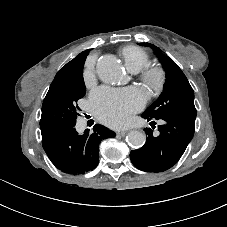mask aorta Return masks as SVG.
<instances>
[{
    "label": "aorta",
    "mask_w": 227,
    "mask_h": 227,
    "mask_svg": "<svg viewBox=\"0 0 227 227\" xmlns=\"http://www.w3.org/2000/svg\"><path fill=\"white\" fill-rule=\"evenodd\" d=\"M96 73L104 83L115 84L122 76V66L116 56L106 54L98 59ZM126 141L131 147L140 148L146 142V135L143 132L132 130L126 136Z\"/></svg>",
    "instance_id": "aorta-1"
}]
</instances>
